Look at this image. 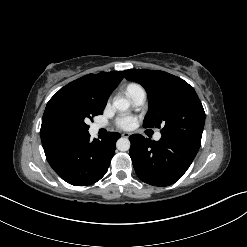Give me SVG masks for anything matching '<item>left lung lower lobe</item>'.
<instances>
[{"mask_svg": "<svg viewBox=\"0 0 247 247\" xmlns=\"http://www.w3.org/2000/svg\"><path fill=\"white\" fill-rule=\"evenodd\" d=\"M130 157L137 176L154 186L179 180L194 160L199 147L180 138L163 136L151 141L140 134L129 137Z\"/></svg>", "mask_w": 247, "mask_h": 247, "instance_id": "left-lung-lower-lobe-1", "label": "left lung lower lobe"}]
</instances>
